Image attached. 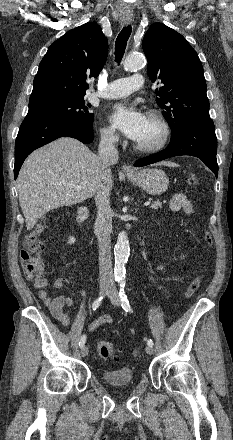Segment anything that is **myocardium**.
<instances>
[{
  "mask_svg": "<svg viewBox=\"0 0 233 440\" xmlns=\"http://www.w3.org/2000/svg\"><path fill=\"white\" fill-rule=\"evenodd\" d=\"M147 117L160 126L162 132L161 137L156 143L150 145L135 141L134 148L141 153H156L161 151L168 144L171 137V127L166 118L158 111H148Z\"/></svg>",
  "mask_w": 233,
  "mask_h": 440,
  "instance_id": "1",
  "label": "myocardium"
}]
</instances>
